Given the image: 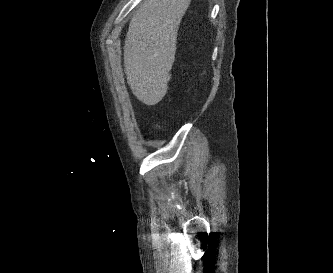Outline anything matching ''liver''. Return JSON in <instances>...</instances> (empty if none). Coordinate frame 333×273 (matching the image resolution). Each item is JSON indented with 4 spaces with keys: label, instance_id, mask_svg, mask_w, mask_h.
Listing matches in <instances>:
<instances>
[{
    "label": "liver",
    "instance_id": "obj_1",
    "mask_svg": "<svg viewBox=\"0 0 333 273\" xmlns=\"http://www.w3.org/2000/svg\"><path fill=\"white\" fill-rule=\"evenodd\" d=\"M191 0H144L131 18L124 44L127 83L144 104L160 102L167 92L177 32Z\"/></svg>",
    "mask_w": 333,
    "mask_h": 273
}]
</instances>
